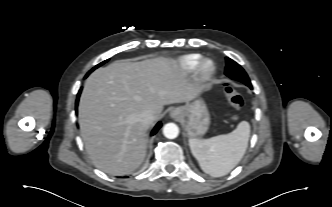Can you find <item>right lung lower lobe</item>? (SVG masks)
Returning <instances> with one entry per match:
<instances>
[{"label":"right lung lower lobe","instance_id":"98d812e1","mask_svg":"<svg viewBox=\"0 0 332 207\" xmlns=\"http://www.w3.org/2000/svg\"><path fill=\"white\" fill-rule=\"evenodd\" d=\"M80 93H81V90L79 91V93H78V95H77L76 105L78 104V99H79ZM160 127H161V122H159V123L155 126V128L153 129L151 135H154V134L158 131V129H159Z\"/></svg>","mask_w":332,"mask_h":207}]
</instances>
